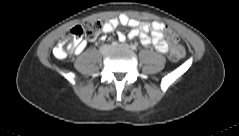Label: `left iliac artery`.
Listing matches in <instances>:
<instances>
[{"label":"left iliac artery","instance_id":"obj_1","mask_svg":"<svg viewBox=\"0 0 239 136\" xmlns=\"http://www.w3.org/2000/svg\"><path fill=\"white\" fill-rule=\"evenodd\" d=\"M131 48H132L133 50H135V49H136V46H135L134 44H132V45H131Z\"/></svg>","mask_w":239,"mask_h":136}]
</instances>
